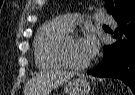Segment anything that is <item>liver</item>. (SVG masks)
<instances>
[{
    "instance_id": "6515ba94",
    "label": "liver",
    "mask_w": 135,
    "mask_h": 95,
    "mask_svg": "<svg viewBox=\"0 0 135 95\" xmlns=\"http://www.w3.org/2000/svg\"><path fill=\"white\" fill-rule=\"evenodd\" d=\"M74 75V72L60 70L40 72L26 85L24 95H48L52 89L66 83Z\"/></svg>"
}]
</instances>
